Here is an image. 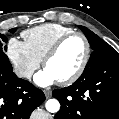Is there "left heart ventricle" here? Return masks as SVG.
Returning a JSON list of instances; mask_svg holds the SVG:
<instances>
[{"label":"left heart ventricle","instance_id":"1","mask_svg":"<svg viewBox=\"0 0 119 119\" xmlns=\"http://www.w3.org/2000/svg\"><path fill=\"white\" fill-rule=\"evenodd\" d=\"M85 55V44L82 38L69 39L46 65V69L56 78L64 79L73 74Z\"/></svg>","mask_w":119,"mask_h":119}]
</instances>
